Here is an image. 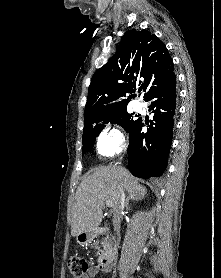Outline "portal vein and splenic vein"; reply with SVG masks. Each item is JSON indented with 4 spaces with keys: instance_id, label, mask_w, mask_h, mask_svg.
<instances>
[{
    "instance_id": "18ae733b",
    "label": "portal vein and splenic vein",
    "mask_w": 221,
    "mask_h": 278,
    "mask_svg": "<svg viewBox=\"0 0 221 278\" xmlns=\"http://www.w3.org/2000/svg\"><path fill=\"white\" fill-rule=\"evenodd\" d=\"M110 204H111L110 201H107V202H106V205H107V206H109Z\"/></svg>"
}]
</instances>
